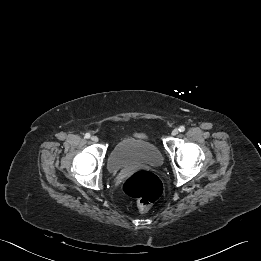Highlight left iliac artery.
Wrapping results in <instances>:
<instances>
[{"mask_svg":"<svg viewBox=\"0 0 261 261\" xmlns=\"http://www.w3.org/2000/svg\"><path fill=\"white\" fill-rule=\"evenodd\" d=\"M180 132H184L185 131V127L184 126H180L178 129Z\"/></svg>","mask_w":261,"mask_h":261,"instance_id":"left-iliac-artery-1","label":"left iliac artery"}]
</instances>
